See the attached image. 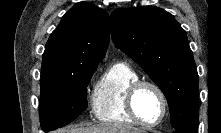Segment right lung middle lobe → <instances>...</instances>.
I'll return each instance as SVG.
<instances>
[{
    "label": "right lung middle lobe",
    "instance_id": "obj_1",
    "mask_svg": "<svg viewBox=\"0 0 221 133\" xmlns=\"http://www.w3.org/2000/svg\"><path fill=\"white\" fill-rule=\"evenodd\" d=\"M98 63L41 72L40 123L47 133L73 121L87 108V85Z\"/></svg>",
    "mask_w": 221,
    "mask_h": 133
}]
</instances>
